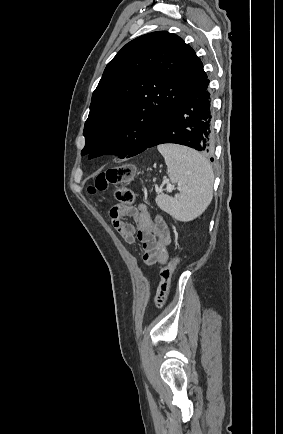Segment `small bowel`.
Returning <instances> with one entry per match:
<instances>
[{
	"label": "small bowel",
	"mask_w": 283,
	"mask_h": 434,
	"mask_svg": "<svg viewBox=\"0 0 283 434\" xmlns=\"http://www.w3.org/2000/svg\"><path fill=\"white\" fill-rule=\"evenodd\" d=\"M126 216H132L135 224L125 222L123 218ZM109 217L113 227L126 242L140 243L145 265H164L168 261L171 238L168 226L161 216L152 219L146 205L140 204L137 208L113 206Z\"/></svg>",
	"instance_id": "c3829d8e"
}]
</instances>
